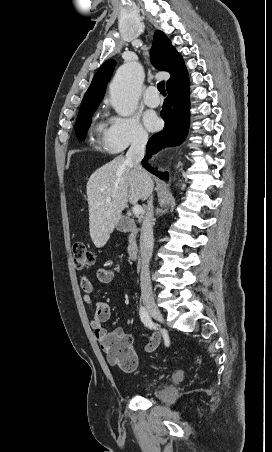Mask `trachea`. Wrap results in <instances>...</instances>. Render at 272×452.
I'll return each mask as SVG.
<instances>
[{
    "mask_svg": "<svg viewBox=\"0 0 272 452\" xmlns=\"http://www.w3.org/2000/svg\"><path fill=\"white\" fill-rule=\"evenodd\" d=\"M157 88L162 95H166L165 82L161 81L157 84Z\"/></svg>",
    "mask_w": 272,
    "mask_h": 452,
    "instance_id": "1",
    "label": "trachea"
}]
</instances>
